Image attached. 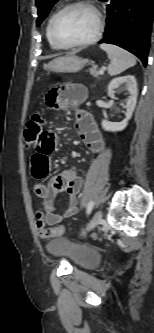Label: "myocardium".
<instances>
[{"label":"myocardium","mask_w":154,"mask_h":333,"mask_svg":"<svg viewBox=\"0 0 154 333\" xmlns=\"http://www.w3.org/2000/svg\"><path fill=\"white\" fill-rule=\"evenodd\" d=\"M76 7L87 8L94 13V15L96 17V23H97L96 30H95L94 34L87 40H84L81 42H76V43H70V44L64 43L56 35L55 26H56L58 19L60 18V16L62 14H64L66 11H68L72 8H76ZM49 29H50V35L52 37V40L61 49L80 48V47L89 46V45L95 43L101 37V35L103 33V29H104V21H103V16H102L101 12L92 3L87 2V1H73V2L67 3L66 5L61 7L58 11H56V13L53 15V17L51 19Z\"/></svg>","instance_id":"obj_1"}]
</instances>
